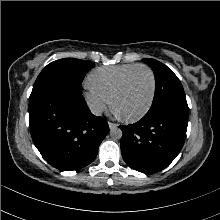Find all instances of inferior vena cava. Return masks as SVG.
Returning a JSON list of instances; mask_svg holds the SVG:
<instances>
[{"label": "inferior vena cava", "instance_id": "obj_1", "mask_svg": "<svg viewBox=\"0 0 220 220\" xmlns=\"http://www.w3.org/2000/svg\"><path fill=\"white\" fill-rule=\"evenodd\" d=\"M90 110L94 115L100 116L102 114L103 108L101 105H91Z\"/></svg>", "mask_w": 220, "mask_h": 220}]
</instances>
